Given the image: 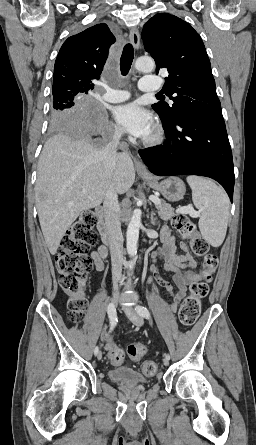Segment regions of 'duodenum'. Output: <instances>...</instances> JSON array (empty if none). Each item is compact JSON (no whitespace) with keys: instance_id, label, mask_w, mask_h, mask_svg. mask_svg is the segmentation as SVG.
<instances>
[{"instance_id":"obj_1","label":"duodenum","mask_w":256,"mask_h":445,"mask_svg":"<svg viewBox=\"0 0 256 445\" xmlns=\"http://www.w3.org/2000/svg\"><path fill=\"white\" fill-rule=\"evenodd\" d=\"M95 214H96V228L97 231L101 237V239L108 243V234L107 229L104 221V208L102 206L95 207Z\"/></svg>"}]
</instances>
